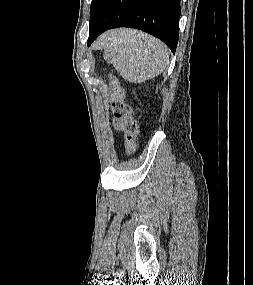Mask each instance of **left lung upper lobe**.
I'll return each mask as SVG.
<instances>
[{
  "mask_svg": "<svg viewBox=\"0 0 253 285\" xmlns=\"http://www.w3.org/2000/svg\"><path fill=\"white\" fill-rule=\"evenodd\" d=\"M108 0H92L90 8V24L89 28L96 21Z\"/></svg>",
  "mask_w": 253,
  "mask_h": 285,
  "instance_id": "obj_1",
  "label": "left lung upper lobe"
}]
</instances>
